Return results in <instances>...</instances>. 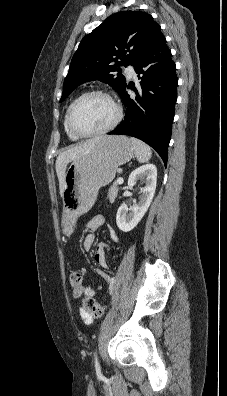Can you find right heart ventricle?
Wrapping results in <instances>:
<instances>
[{"instance_id": "right-heart-ventricle-1", "label": "right heart ventricle", "mask_w": 227, "mask_h": 396, "mask_svg": "<svg viewBox=\"0 0 227 396\" xmlns=\"http://www.w3.org/2000/svg\"><path fill=\"white\" fill-rule=\"evenodd\" d=\"M67 112H68V109H67V111H66V113H65V115H64V121H63L64 130H65V133H66V135L68 136V138H69L70 140L76 141V140H78L80 137H77L76 135H74V134L69 130L68 125H67Z\"/></svg>"}]
</instances>
